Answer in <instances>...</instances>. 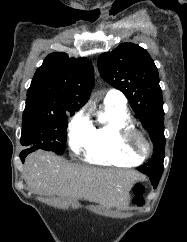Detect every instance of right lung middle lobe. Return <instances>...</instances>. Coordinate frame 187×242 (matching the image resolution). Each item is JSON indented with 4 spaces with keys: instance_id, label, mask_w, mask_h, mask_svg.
<instances>
[{
    "instance_id": "1",
    "label": "right lung middle lobe",
    "mask_w": 187,
    "mask_h": 242,
    "mask_svg": "<svg viewBox=\"0 0 187 242\" xmlns=\"http://www.w3.org/2000/svg\"><path fill=\"white\" fill-rule=\"evenodd\" d=\"M67 112L30 111L23 114L21 144L62 155L66 147ZM73 115L74 112H69Z\"/></svg>"
}]
</instances>
